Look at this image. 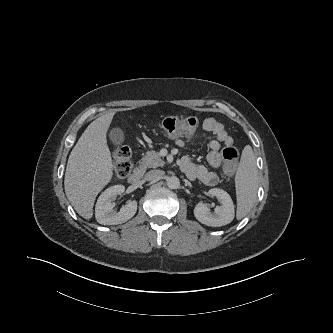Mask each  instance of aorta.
Listing matches in <instances>:
<instances>
[{
    "label": "aorta",
    "instance_id": "1",
    "mask_svg": "<svg viewBox=\"0 0 333 333\" xmlns=\"http://www.w3.org/2000/svg\"><path fill=\"white\" fill-rule=\"evenodd\" d=\"M167 186L170 189H177L180 186V181H179L178 177H176V176L168 177Z\"/></svg>",
    "mask_w": 333,
    "mask_h": 333
}]
</instances>
